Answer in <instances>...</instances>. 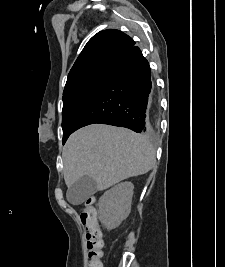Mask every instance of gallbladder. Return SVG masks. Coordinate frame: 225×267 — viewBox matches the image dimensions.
I'll list each match as a JSON object with an SVG mask.
<instances>
[{
	"label": "gallbladder",
	"mask_w": 225,
	"mask_h": 267,
	"mask_svg": "<svg viewBox=\"0 0 225 267\" xmlns=\"http://www.w3.org/2000/svg\"><path fill=\"white\" fill-rule=\"evenodd\" d=\"M97 191V183L89 176H83L67 190V199L73 205L83 203Z\"/></svg>",
	"instance_id": "obj_1"
}]
</instances>
